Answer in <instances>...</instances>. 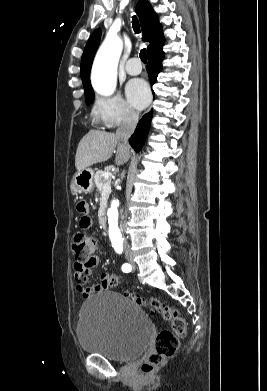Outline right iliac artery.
<instances>
[{
	"mask_svg": "<svg viewBox=\"0 0 267 391\" xmlns=\"http://www.w3.org/2000/svg\"><path fill=\"white\" fill-rule=\"evenodd\" d=\"M122 271L123 272H130L131 271V265L130 264H124L123 266H122Z\"/></svg>",
	"mask_w": 267,
	"mask_h": 391,
	"instance_id": "82829eb1",
	"label": "right iliac artery"
}]
</instances>
